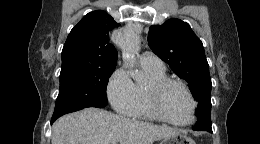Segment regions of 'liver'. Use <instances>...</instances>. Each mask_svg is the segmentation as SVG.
Wrapping results in <instances>:
<instances>
[{"label":"liver","instance_id":"1","mask_svg":"<svg viewBox=\"0 0 260 144\" xmlns=\"http://www.w3.org/2000/svg\"><path fill=\"white\" fill-rule=\"evenodd\" d=\"M179 130L129 119L97 108L59 118L52 127V144H153Z\"/></svg>","mask_w":260,"mask_h":144}]
</instances>
